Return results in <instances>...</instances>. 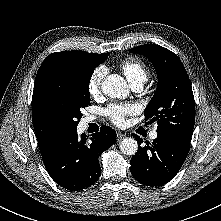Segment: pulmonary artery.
Here are the masks:
<instances>
[{"mask_svg":"<svg viewBox=\"0 0 221 221\" xmlns=\"http://www.w3.org/2000/svg\"><path fill=\"white\" fill-rule=\"evenodd\" d=\"M131 86H132L133 90H135V91H137V92L142 89V85H140V84H133V85H131ZM92 119H93L92 117H88V118L86 119V121H87V122H90V121H92ZM157 136H158V134H157L156 129L152 130V131L149 133V137H150L151 140H155V139L157 138Z\"/></svg>","mask_w":221,"mask_h":221,"instance_id":"obj_1","label":"pulmonary artery"}]
</instances>
